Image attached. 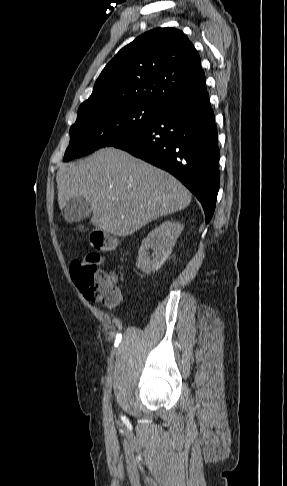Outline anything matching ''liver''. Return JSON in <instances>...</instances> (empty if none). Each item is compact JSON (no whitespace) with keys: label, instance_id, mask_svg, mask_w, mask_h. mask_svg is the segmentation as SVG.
Instances as JSON below:
<instances>
[{"label":"liver","instance_id":"obj_1","mask_svg":"<svg viewBox=\"0 0 287 486\" xmlns=\"http://www.w3.org/2000/svg\"><path fill=\"white\" fill-rule=\"evenodd\" d=\"M56 181L61 210L81 196L90 204L91 223L118 237L185 209L192 198L169 173L115 148L100 149L76 164H61Z\"/></svg>","mask_w":287,"mask_h":486}]
</instances>
